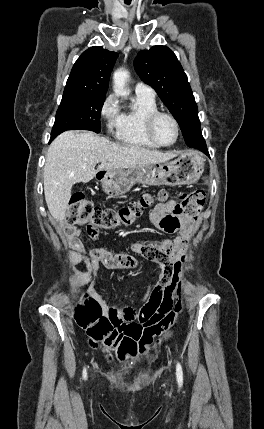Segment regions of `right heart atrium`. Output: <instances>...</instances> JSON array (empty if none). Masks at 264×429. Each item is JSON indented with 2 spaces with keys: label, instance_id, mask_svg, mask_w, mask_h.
Returning a JSON list of instances; mask_svg holds the SVG:
<instances>
[{
  "label": "right heart atrium",
  "instance_id": "d8ad5b80",
  "mask_svg": "<svg viewBox=\"0 0 264 429\" xmlns=\"http://www.w3.org/2000/svg\"><path fill=\"white\" fill-rule=\"evenodd\" d=\"M99 113L105 122L106 128L109 131L115 130L120 111L117 99L114 95L110 94L105 97L100 106Z\"/></svg>",
  "mask_w": 264,
  "mask_h": 429
}]
</instances>
